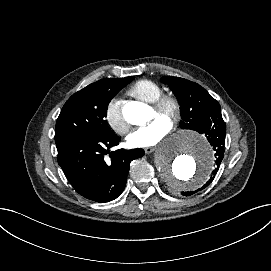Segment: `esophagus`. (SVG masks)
<instances>
[{
  "label": "esophagus",
  "instance_id": "esophagus-1",
  "mask_svg": "<svg viewBox=\"0 0 271 271\" xmlns=\"http://www.w3.org/2000/svg\"><path fill=\"white\" fill-rule=\"evenodd\" d=\"M155 149H156V147H146V148H144L146 154H150V153L154 152Z\"/></svg>",
  "mask_w": 271,
  "mask_h": 271
}]
</instances>
